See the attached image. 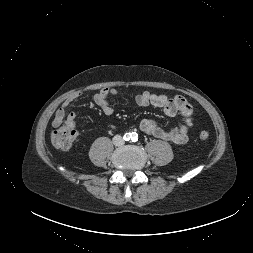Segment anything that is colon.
Wrapping results in <instances>:
<instances>
[{"mask_svg": "<svg viewBox=\"0 0 253 253\" xmlns=\"http://www.w3.org/2000/svg\"><path fill=\"white\" fill-rule=\"evenodd\" d=\"M199 138L205 141L209 138V133L207 131H201ZM75 139V131L72 127L66 123L55 129L51 134L52 144L59 149H68L71 147Z\"/></svg>", "mask_w": 253, "mask_h": 253, "instance_id": "5ec220e1", "label": "colon"}]
</instances>
